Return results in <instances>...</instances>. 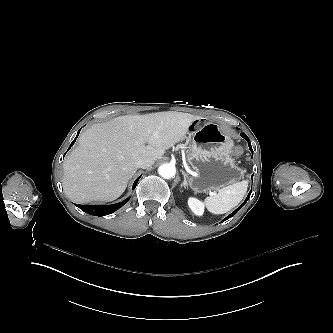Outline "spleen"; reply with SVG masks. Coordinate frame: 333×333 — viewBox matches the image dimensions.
<instances>
[{
	"label": "spleen",
	"instance_id": "3e777b00",
	"mask_svg": "<svg viewBox=\"0 0 333 333\" xmlns=\"http://www.w3.org/2000/svg\"><path fill=\"white\" fill-rule=\"evenodd\" d=\"M247 191L246 181H237L220 188L214 196L204 199L206 209L212 214H223L237 206Z\"/></svg>",
	"mask_w": 333,
	"mask_h": 333
}]
</instances>
